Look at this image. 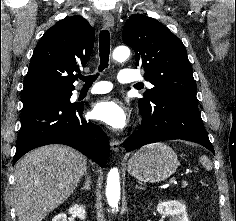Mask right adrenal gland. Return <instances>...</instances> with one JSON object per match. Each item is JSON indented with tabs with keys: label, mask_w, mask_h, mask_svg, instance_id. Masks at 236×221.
Listing matches in <instances>:
<instances>
[{
	"label": "right adrenal gland",
	"mask_w": 236,
	"mask_h": 221,
	"mask_svg": "<svg viewBox=\"0 0 236 221\" xmlns=\"http://www.w3.org/2000/svg\"><path fill=\"white\" fill-rule=\"evenodd\" d=\"M90 186H91V177L87 176V179H86V181L84 183V186L81 187V191H83V190H90L91 189Z\"/></svg>",
	"instance_id": "1"
}]
</instances>
